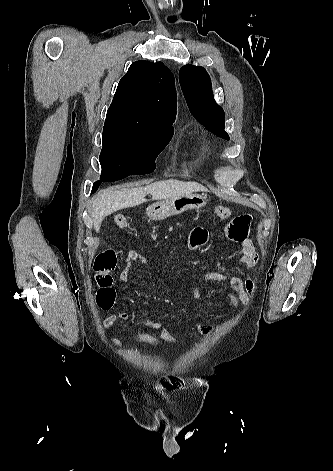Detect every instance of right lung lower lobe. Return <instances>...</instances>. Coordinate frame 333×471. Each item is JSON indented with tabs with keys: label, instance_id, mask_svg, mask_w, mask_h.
I'll use <instances>...</instances> for the list:
<instances>
[{
	"label": "right lung lower lobe",
	"instance_id": "obj_1",
	"mask_svg": "<svg viewBox=\"0 0 333 471\" xmlns=\"http://www.w3.org/2000/svg\"><path fill=\"white\" fill-rule=\"evenodd\" d=\"M101 182H102V181H97V182H95V183L93 184L92 193L95 192V191L98 189V187H99V185L101 184Z\"/></svg>",
	"mask_w": 333,
	"mask_h": 471
}]
</instances>
